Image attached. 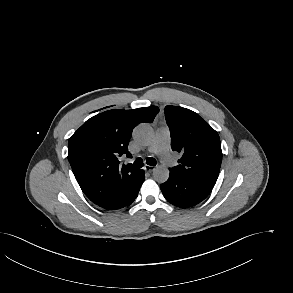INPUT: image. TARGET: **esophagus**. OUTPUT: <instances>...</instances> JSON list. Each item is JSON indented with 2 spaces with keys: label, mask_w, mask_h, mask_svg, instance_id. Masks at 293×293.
I'll return each mask as SVG.
<instances>
[{
  "label": "esophagus",
  "mask_w": 293,
  "mask_h": 293,
  "mask_svg": "<svg viewBox=\"0 0 293 293\" xmlns=\"http://www.w3.org/2000/svg\"><path fill=\"white\" fill-rule=\"evenodd\" d=\"M144 170L151 173L155 170V167L150 165H145Z\"/></svg>",
  "instance_id": "esophagus-1"
}]
</instances>
